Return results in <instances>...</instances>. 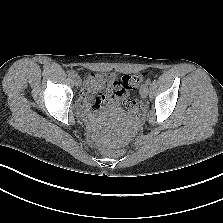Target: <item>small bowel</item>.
I'll list each match as a JSON object with an SVG mask.
<instances>
[{"label": "small bowel", "instance_id": "small-bowel-1", "mask_svg": "<svg viewBox=\"0 0 223 223\" xmlns=\"http://www.w3.org/2000/svg\"><path fill=\"white\" fill-rule=\"evenodd\" d=\"M116 77L114 73H92L88 76L81 92V104L93 110L88 112L89 118L101 110L116 109L120 104V97L115 94L112 84Z\"/></svg>", "mask_w": 223, "mask_h": 223}]
</instances>
